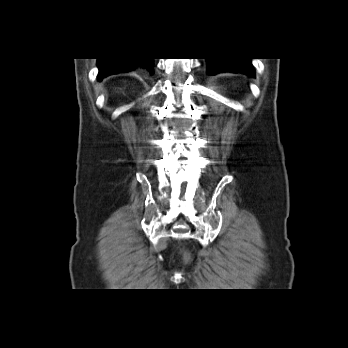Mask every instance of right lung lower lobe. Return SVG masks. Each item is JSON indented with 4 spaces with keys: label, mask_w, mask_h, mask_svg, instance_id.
I'll return each instance as SVG.
<instances>
[{
    "label": "right lung lower lobe",
    "mask_w": 348,
    "mask_h": 348,
    "mask_svg": "<svg viewBox=\"0 0 348 348\" xmlns=\"http://www.w3.org/2000/svg\"><path fill=\"white\" fill-rule=\"evenodd\" d=\"M99 65V80H102L105 76L127 72L132 70L137 65L146 66L151 73H153V58H106L98 59Z\"/></svg>",
    "instance_id": "98d812e1"
}]
</instances>
